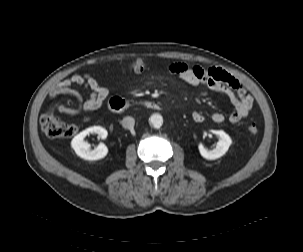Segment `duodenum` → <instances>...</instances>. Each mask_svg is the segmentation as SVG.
I'll use <instances>...</instances> for the list:
<instances>
[{"mask_svg":"<svg viewBox=\"0 0 303 252\" xmlns=\"http://www.w3.org/2000/svg\"><path fill=\"white\" fill-rule=\"evenodd\" d=\"M137 106H143L144 108L150 109V110H159L161 109V104L155 101H146V102H139L134 100H124V99H117L115 104L111 106V110L114 113H123L127 109L137 107Z\"/></svg>","mask_w":303,"mask_h":252,"instance_id":"obj_1","label":"duodenum"}]
</instances>
